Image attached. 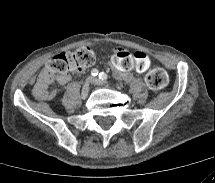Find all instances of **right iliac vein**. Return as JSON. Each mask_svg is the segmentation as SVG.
Here are the masks:
<instances>
[{"mask_svg":"<svg viewBox=\"0 0 215 183\" xmlns=\"http://www.w3.org/2000/svg\"><path fill=\"white\" fill-rule=\"evenodd\" d=\"M89 83H90V78H88L82 87V91H81V97L82 99H86L89 93Z\"/></svg>","mask_w":215,"mask_h":183,"instance_id":"obj_1","label":"right iliac vein"}]
</instances>
